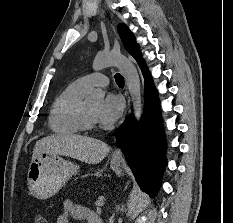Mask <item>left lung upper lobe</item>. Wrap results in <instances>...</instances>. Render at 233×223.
Returning a JSON list of instances; mask_svg holds the SVG:
<instances>
[{
    "instance_id": "5c2ea615",
    "label": "left lung upper lobe",
    "mask_w": 233,
    "mask_h": 223,
    "mask_svg": "<svg viewBox=\"0 0 233 223\" xmlns=\"http://www.w3.org/2000/svg\"><path fill=\"white\" fill-rule=\"evenodd\" d=\"M118 32L126 50L129 52L130 55L136 58L140 54V50L139 46L136 44L132 32L125 24L118 25Z\"/></svg>"
}]
</instances>
